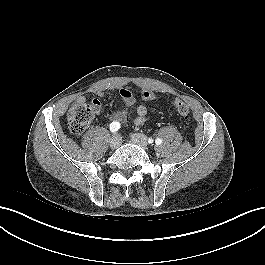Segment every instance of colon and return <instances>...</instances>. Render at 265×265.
<instances>
[{
  "label": "colon",
  "instance_id": "5ec220e1",
  "mask_svg": "<svg viewBox=\"0 0 265 265\" xmlns=\"http://www.w3.org/2000/svg\"><path fill=\"white\" fill-rule=\"evenodd\" d=\"M140 98L143 101H152L155 99V94L149 89H142L140 91ZM173 105L178 114L185 120L189 118V106L186 102L176 99ZM99 104L96 100L80 103L70 108L67 114V121L69 130L75 135H79L85 131L87 126L94 119Z\"/></svg>",
  "mask_w": 265,
  "mask_h": 265
}]
</instances>
